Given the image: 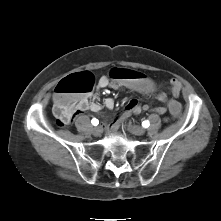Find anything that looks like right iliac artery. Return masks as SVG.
<instances>
[{
    "label": "right iliac artery",
    "instance_id": "82829eb1",
    "mask_svg": "<svg viewBox=\"0 0 221 221\" xmlns=\"http://www.w3.org/2000/svg\"><path fill=\"white\" fill-rule=\"evenodd\" d=\"M91 123L94 125V126H97L99 124V121L96 119V118H93L91 120Z\"/></svg>",
    "mask_w": 221,
    "mask_h": 221
}]
</instances>
